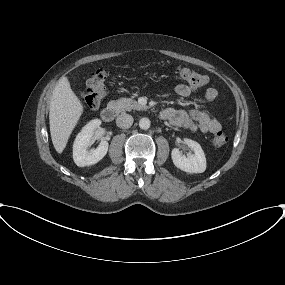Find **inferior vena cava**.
<instances>
[{
	"mask_svg": "<svg viewBox=\"0 0 285 285\" xmlns=\"http://www.w3.org/2000/svg\"><path fill=\"white\" fill-rule=\"evenodd\" d=\"M133 117L127 113H121L116 118V124L120 128H130L133 124Z\"/></svg>",
	"mask_w": 285,
	"mask_h": 285,
	"instance_id": "602c4592",
	"label": "inferior vena cava"
}]
</instances>
